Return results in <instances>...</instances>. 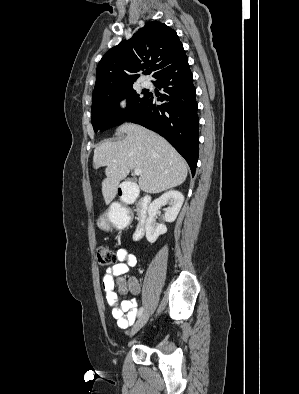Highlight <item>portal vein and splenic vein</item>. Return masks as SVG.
<instances>
[{"label":"portal vein and splenic vein","instance_id":"obj_1","mask_svg":"<svg viewBox=\"0 0 299 394\" xmlns=\"http://www.w3.org/2000/svg\"><path fill=\"white\" fill-rule=\"evenodd\" d=\"M134 174L135 175H141L142 174V170L141 169H135L134 170Z\"/></svg>","mask_w":299,"mask_h":394}]
</instances>
